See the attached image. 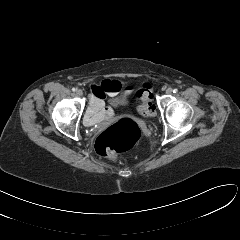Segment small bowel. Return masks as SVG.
<instances>
[{
	"label": "small bowel",
	"instance_id": "1",
	"mask_svg": "<svg viewBox=\"0 0 240 240\" xmlns=\"http://www.w3.org/2000/svg\"><path fill=\"white\" fill-rule=\"evenodd\" d=\"M124 90L126 94L131 92L130 87H123L119 81L104 80L100 84L91 86V95L89 107L85 114V124L95 126L103 120L111 119L113 110L105 106L107 96H116Z\"/></svg>",
	"mask_w": 240,
	"mask_h": 240
}]
</instances>
